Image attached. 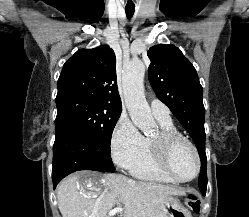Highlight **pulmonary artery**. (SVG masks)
<instances>
[{
	"instance_id": "1",
	"label": "pulmonary artery",
	"mask_w": 249,
	"mask_h": 217,
	"mask_svg": "<svg viewBox=\"0 0 249 217\" xmlns=\"http://www.w3.org/2000/svg\"><path fill=\"white\" fill-rule=\"evenodd\" d=\"M150 107L154 117L158 120L169 121L171 120L169 108L158 99H152Z\"/></svg>"
}]
</instances>
